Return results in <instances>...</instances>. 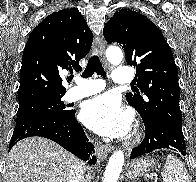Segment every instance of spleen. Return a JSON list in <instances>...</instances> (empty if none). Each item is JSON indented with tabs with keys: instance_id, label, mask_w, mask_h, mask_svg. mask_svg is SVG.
<instances>
[{
	"instance_id": "obj_1",
	"label": "spleen",
	"mask_w": 196,
	"mask_h": 182,
	"mask_svg": "<svg viewBox=\"0 0 196 182\" xmlns=\"http://www.w3.org/2000/svg\"><path fill=\"white\" fill-rule=\"evenodd\" d=\"M161 176L163 182H189L185 165L173 155H167Z\"/></svg>"
}]
</instances>
